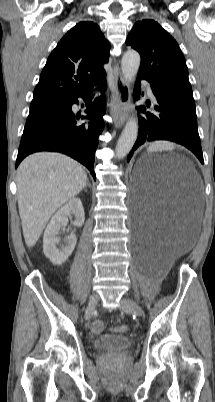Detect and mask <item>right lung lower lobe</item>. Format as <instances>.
<instances>
[{
	"label": "right lung lower lobe",
	"mask_w": 215,
	"mask_h": 402,
	"mask_svg": "<svg viewBox=\"0 0 215 402\" xmlns=\"http://www.w3.org/2000/svg\"><path fill=\"white\" fill-rule=\"evenodd\" d=\"M96 84L100 91L107 88L105 76ZM90 89L66 100L64 109L55 116L33 126L23 132L16 160V168L29 154L39 151H55L64 153L86 166L94 179V154L98 146V137L103 131L102 117L106 110L105 95L102 94L93 102H89ZM78 97L87 101V116L81 119H93L82 123L80 115L72 112V105L78 104Z\"/></svg>",
	"instance_id": "1"
}]
</instances>
